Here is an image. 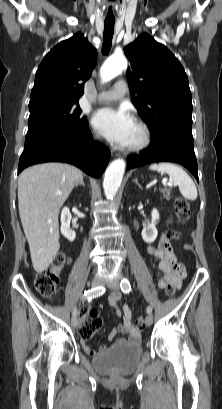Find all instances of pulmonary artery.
Wrapping results in <instances>:
<instances>
[{
    "instance_id": "obj_1",
    "label": "pulmonary artery",
    "mask_w": 222,
    "mask_h": 409,
    "mask_svg": "<svg viewBox=\"0 0 222 409\" xmlns=\"http://www.w3.org/2000/svg\"><path fill=\"white\" fill-rule=\"evenodd\" d=\"M128 91L127 85L124 81L120 80L114 84V86L98 96L100 102H110L121 99Z\"/></svg>"
}]
</instances>
